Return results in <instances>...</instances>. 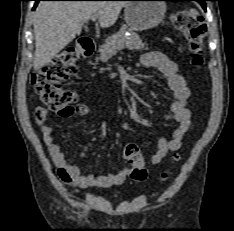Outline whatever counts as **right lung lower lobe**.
Instances as JSON below:
<instances>
[{"label":"right lung lower lobe","instance_id":"right-lung-lower-lobe-1","mask_svg":"<svg viewBox=\"0 0 234 231\" xmlns=\"http://www.w3.org/2000/svg\"><path fill=\"white\" fill-rule=\"evenodd\" d=\"M35 1V5L33 7V10L36 8L37 4L39 1H66V0H34ZM68 1V0H67ZM70 1V0H69Z\"/></svg>","mask_w":234,"mask_h":231}]
</instances>
